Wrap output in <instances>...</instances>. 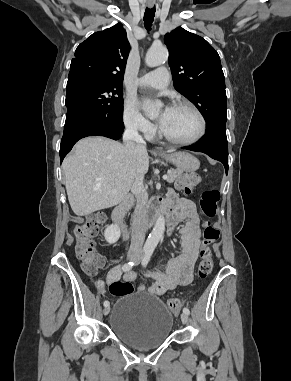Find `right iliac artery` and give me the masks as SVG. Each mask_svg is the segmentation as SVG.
<instances>
[{
    "label": "right iliac artery",
    "mask_w": 291,
    "mask_h": 381,
    "mask_svg": "<svg viewBox=\"0 0 291 381\" xmlns=\"http://www.w3.org/2000/svg\"><path fill=\"white\" fill-rule=\"evenodd\" d=\"M134 265H135V262H133V261L127 262L122 266V270L123 271H129L133 268ZM103 304L105 307L109 306V301L106 300V301H104Z\"/></svg>",
    "instance_id": "obj_1"
}]
</instances>
